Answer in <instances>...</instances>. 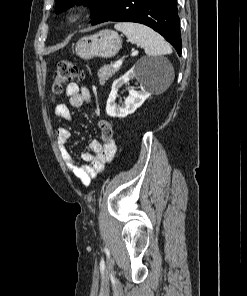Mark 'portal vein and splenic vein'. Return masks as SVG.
Wrapping results in <instances>:
<instances>
[{
  "label": "portal vein and splenic vein",
  "mask_w": 247,
  "mask_h": 296,
  "mask_svg": "<svg viewBox=\"0 0 247 296\" xmlns=\"http://www.w3.org/2000/svg\"><path fill=\"white\" fill-rule=\"evenodd\" d=\"M122 63H123V59H119V60L115 61L112 66H113V68H118L122 65Z\"/></svg>",
  "instance_id": "18ae733b"
}]
</instances>
